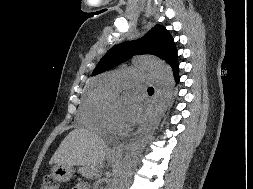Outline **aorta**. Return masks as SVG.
I'll list each match as a JSON object with an SVG mask.
<instances>
[{
  "mask_svg": "<svg viewBox=\"0 0 253 189\" xmlns=\"http://www.w3.org/2000/svg\"><path fill=\"white\" fill-rule=\"evenodd\" d=\"M133 64L140 68H148L153 72L157 80V92L138 132L126 148L122 163L113 178L111 189H123L125 179L137 166L146 144L152 138L173 97L175 80L169 65L149 56L136 57ZM109 101L119 103L121 98L117 94H112Z\"/></svg>",
  "mask_w": 253,
  "mask_h": 189,
  "instance_id": "aorta-1",
  "label": "aorta"
}]
</instances>
